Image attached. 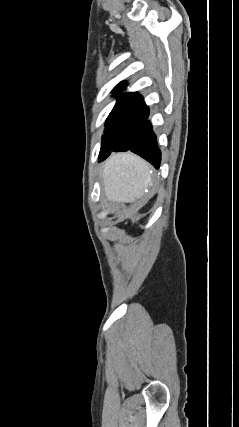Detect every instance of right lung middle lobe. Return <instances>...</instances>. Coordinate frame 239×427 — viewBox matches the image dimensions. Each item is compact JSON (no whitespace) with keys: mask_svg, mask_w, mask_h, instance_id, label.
Wrapping results in <instances>:
<instances>
[{"mask_svg":"<svg viewBox=\"0 0 239 427\" xmlns=\"http://www.w3.org/2000/svg\"><path fill=\"white\" fill-rule=\"evenodd\" d=\"M148 115L149 110L143 100L119 99L105 123L99 160L108 157L112 151L128 148Z\"/></svg>","mask_w":239,"mask_h":427,"instance_id":"right-lung-middle-lobe-1","label":"right lung middle lobe"}]
</instances>
